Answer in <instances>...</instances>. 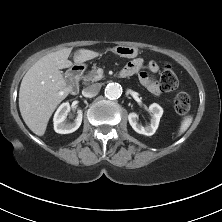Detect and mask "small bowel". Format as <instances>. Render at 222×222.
<instances>
[{
	"mask_svg": "<svg viewBox=\"0 0 222 222\" xmlns=\"http://www.w3.org/2000/svg\"><path fill=\"white\" fill-rule=\"evenodd\" d=\"M144 61L141 58H136L129 62L123 69L122 72L127 76L138 75L140 83L145 86L149 92L154 95L161 94V87L157 80L153 79L149 74H154L158 71L159 66L155 61H150L147 64V70L143 71Z\"/></svg>",
	"mask_w": 222,
	"mask_h": 222,
	"instance_id": "1",
	"label": "small bowel"
}]
</instances>
